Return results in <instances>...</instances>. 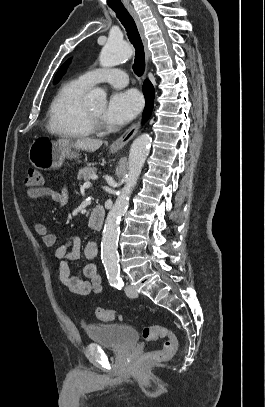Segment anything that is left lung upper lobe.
Segmentation results:
<instances>
[{
    "label": "left lung upper lobe",
    "mask_w": 265,
    "mask_h": 407,
    "mask_svg": "<svg viewBox=\"0 0 265 407\" xmlns=\"http://www.w3.org/2000/svg\"><path fill=\"white\" fill-rule=\"evenodd\" d=\"M70 60H71V59L67 60V61L61 66V68L58 70V72H57V74H56V76H55V78H54V84H56V83L59 81V79L63 76V74H64L65 71H66L67 66H68L69 63H70Z\"/></svg>",
    "instance_id": "left-lung-upper-lobe-1"
}]
</instances>
